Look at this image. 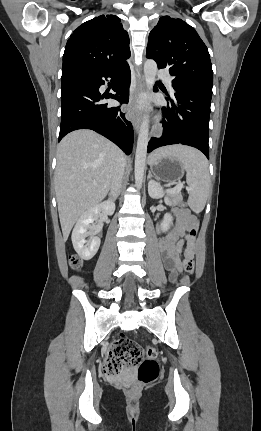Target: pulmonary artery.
Segmentation results:
<instances>
[{"label":"pulmonary artery","instance_id":"1","mask_svg":"<svg viewBox=\"0 0 261 431\" xmlns=\"http://www.w3.org/2000/svg\"><path fill=\"white\" fill-rule=\"evenodd\" d=\"M157 74H158V76L160 78H162L163 80H165L166 83L169 86H171V84H172V77H171V75L169 74V72L167 70L161 69V70L158 71Z\"/></svg>","mask_w":261,"mask_h":431}]
</instances>
